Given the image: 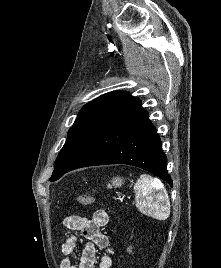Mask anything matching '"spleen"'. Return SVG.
Listing matches in <instances>:
<instances>
[{
	"label": "spleen",
	"mask_w": 221,
	"mask_h": 268,
	"mask_svg": "<svg viewBox=\"0 0 221 268\" xmlns=\"http://www.w3.org/2000/svg\"><path fill=\"white\" fill-rule=\"evenodd\" d=\"M136 207L158 220H166L170 213V201L163 183L147 174H141L133 187Z\"/></svg>",
	"instance_id": "spleen-1"
}]
</instances>
